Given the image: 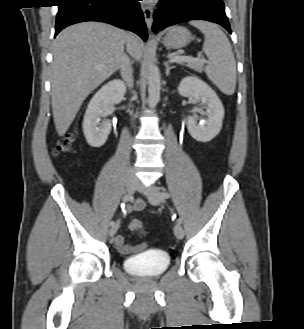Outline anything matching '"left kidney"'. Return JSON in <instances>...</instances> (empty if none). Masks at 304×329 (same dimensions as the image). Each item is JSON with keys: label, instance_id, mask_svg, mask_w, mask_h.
I'll use <instances>...</instances> for the list:
<instances>
[{"label": "left kidney", "instance_id": "left-kidney-1", "mask_svg": "<svg viewBox=\"0 0 304 329\" xmlns=\"http://www.w3.org/2000/svg\"><path fill=\"white\" fill-rule=\"evenodd\" d=\"M178 91L181 96L194 98L202 102L206 108L207 120L198 123L199 117L194 114L187 119L190 135L199 142H209L216 137L224 118V108L215 91L198 77L188 76L181 80Z\"/></svg>", "mask_w": 304, "mask_h": 329}]
</instances>
